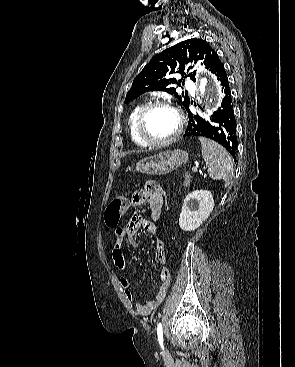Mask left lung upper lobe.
<instances>
[{
  "mask_svg": "<svg viewBox=\"0 0 295 367\" xmlns=\"http://www.w3.org/2000/svg\"><path fill=\"white\" fill-rule=\"evenodd\" d=\"M202 60V64L209 71H213L219 58L210 45L202 39H188L182 41L156 55L135 77L131 89L128 91L125 102H129L141 94L149 91H165L174 95L184 106L189 107L190 100L187 95H178L174 85L177 80L175 73L181 74L179 82L184 83L186 77L196 81V71H191L193 62ZM182 83V84H183Z\"/></svg>",
  "mask_w": 295,
  "mask_h": 367,
  "instance_id": "1",
  "label": "left lung upper lobe"
}]
</instances>
